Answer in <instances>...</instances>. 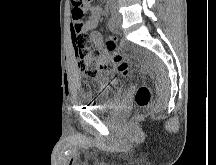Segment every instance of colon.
I'll use <instances>...</instances> for the list:
<instances>
[{
	"mask_svg": "<svg viewBox=\"0 0 216 165\" xmlns=\"http://www.w3.org/2000/svg\"><path fill=\"white\" fill-rule=\"evenodd\" d=\"M74 8H81L82 12L93 5L96 0H71ZM76 57L78 58L79 71L83 77L94 79L102 71L116 67L120 74L129 76L130 66L124 57L116 51L113 38L106 39L105 51L93 48L90 33L83 32L75 39ZM135 103L139 107H146L151 100L150 90L147 86H139L135 92Z\"/></svg>",
	"mask_w": 216,
	"mask_h": 165,
	"instance_id": "colon-1",
	"label": "colon"
}]
</instances>
